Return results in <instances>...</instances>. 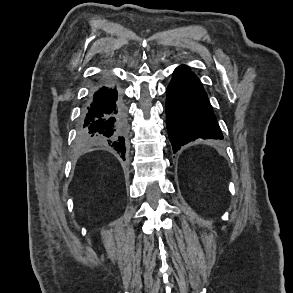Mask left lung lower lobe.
Masks as SVG:
<instances>
[{"instance_id":"left-lung-lower-lobe-1","label":"left lung lower lobe","mask_w":293,"mask_h":293,"mask_svg":"<svg viewBox=\"0 0 293 293\" xmlns=\"http://www.w3.org/2000/svg\"><path fill=\"white\" fill-rule=\"evenodd\" d=\"M166 125L173 152L198 138L223 139L202 83L181 65L167 87Z\"/></svg>"}]
</instances>
